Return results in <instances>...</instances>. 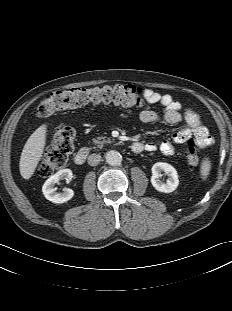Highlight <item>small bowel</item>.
Returning a JSON list of instances; mask_svg holds the SVG:
<instances>
[{
	"label": "small bowel",
	"mask_w": 232,
	"mask_h": 311,
	"mask_svg": "<svg viewBox=\"0 0 232 311\" xmlns=\"http://www.w3.org/2000/svg\"><path fill=\"white\" fill-rule=\"evenodd\" d=\"M144 98L151 104L158 103L163 106V113L144 109L139 113V119L146 124L164 121L169 124L183 122L185 126L176 131L171 138L163 140L158 145L152 142L146 143L144 149L153 152L157 149L165 155L171 156L175 152V144H184L194 138L200 148L212 144L207 128L204 126L200 116L192 109H183L182 105L169 94H162L154 89L146 88L143 91Z\"/></svg>",
	"instance_id": "1"
}]
</instances>
